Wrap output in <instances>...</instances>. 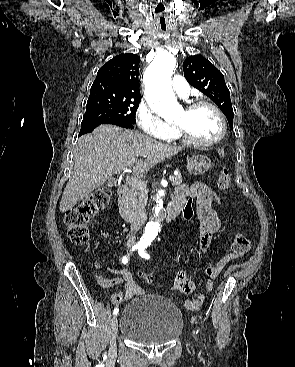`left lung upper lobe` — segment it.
<instances>
[{
    "mask_svg": "<svg viewBox=\"0 0 295 367\" xmlns=\"http://www.w3.org/2000/svg\"><path fill=\"white\" fill-rule=\"evenodd\" d=\"M183 71L185 78L193 87L217 104L226 116L231 129H233L234 113L230 92L223 74L201 55L187 57L183 65Z\"/></svg>",
    "mask_w": 295,
    "mask_h": 367,
    "instance_id": "5c2ea615",
    "label": "left lung upper lobe"
}]
</instances>
